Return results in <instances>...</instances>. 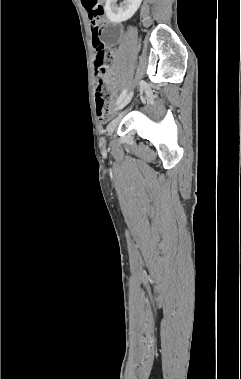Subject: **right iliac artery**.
<instances>
[{"label":"right iliac artery","mask_w":241,"mask_h":379,"mask_svg":"<svg viewBox=\"0 0 241 379\" xmlns=\"http://www.w3.org/2000/svg\"><path fill=\"white\" fill-rule=\"evenodd\" d=\"M126 92H127V89H124L123 92L120 94L119 98L117 99V102H116L117 104H119L123 100V98L126 95Z\"/></svg>","instance_id":"right-iliac-artery-1"}]
</instances>
